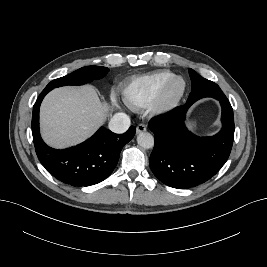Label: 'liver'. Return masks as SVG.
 <instances>
[{
	"instance_id": "1",
	"label": "liver",
	"mask_w": 267,
	"mask_h": 267,
	"mask_svg": "<svg viewBox=\"0 0 267 267\" xmlns=\"http://www.w3.org/2000/svg\"><path fill=\"white\" fill-rule=\"evenodd\" d=\"M111 110L91 85L56 88L40 108L42 137L59 149L79 144L95 133Z\"/></svg>"
}]
</instances>
